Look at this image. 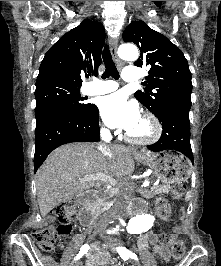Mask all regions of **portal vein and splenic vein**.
<instances>
[{"mask_svg":"<svg viewBox=\"0 0 221 266\" xmlns=\"http://www.w3.org/2000/svg\"><path fill=\"white\" fill-rule=\"evenodd\" d=\"M87 180H101L107 183H110L111 185L116 184L115 179H113L111 176L104 175L103 173H97L95 175H85L80 179V181H87ZM157 184H154L156 187Z\"/></svg>","mask_w":221,"mask_h":266,"instance_id":"18ae733b","label":"portal vein and splenic vein"}]
</instances>
